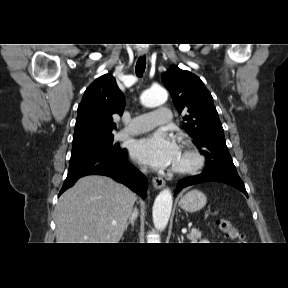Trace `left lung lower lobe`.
Returning <instances> with one entry per match:
<instances>
[{"instance_id": "0a47b994", "label": "left lung lower lobe", "mask_w": 288, "mask_h": 288, "mask_svg": "<svg viewBox=\"0 0 288 288\" xmlns=\"http://www.w3.org/2000/svg\"><path fill=\"white\" fill-rule=\"evenodd\" d=\"M208 181H217L225 183L227 185L235 187L236 189L240 190L247 196L244 183L242 182L239 175H233L219 171H212V172L203 171L199 175L184 178L178 182V187L176 188L175 193H178L183 187Z\"/></svg>"}]
</instances>
